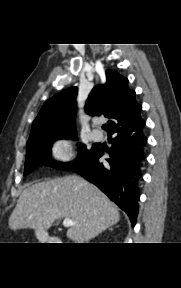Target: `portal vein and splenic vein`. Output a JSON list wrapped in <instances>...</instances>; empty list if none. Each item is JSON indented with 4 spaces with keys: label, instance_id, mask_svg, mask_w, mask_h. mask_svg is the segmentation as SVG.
I'll return each instance as SVG.
<instances>
[{
    "label": "portal vein and splenic vein",
    "instance_id": "portal-vein-and-splenic-vein-1",
    "mask_svg": "<svg viewBox=\"0 0 181 288\" xmlns=\"http://www.w3.org/2000/svg\"><path fill=\"white\" fill-rule=\"evenodd\" d=\"M63 225H64V227H71V226H73L75 224H74V222L71 219L64 218Z\"/></svg>",
    "mask_w": 181,
    "mask_h": 288
}]
</instances>
